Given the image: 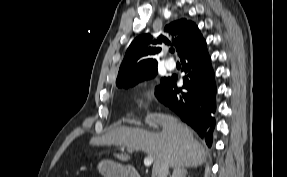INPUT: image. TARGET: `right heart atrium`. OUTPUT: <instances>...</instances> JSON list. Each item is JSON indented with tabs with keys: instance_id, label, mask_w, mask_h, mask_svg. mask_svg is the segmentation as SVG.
<instances>
[{
	"instance_id": "1",
	"label": "right heart atrium",
	"mask_w": 287,
	"mask_h": 177,
	"mask_svg": "<svg viewBox=\"0 0 287 177\" xmlns=\"http://www.w3.org/2000/svg\"><path fill=\"white\" fill-rule=\"evenodd\" d=\"M154 98V89L153 88H145L142 90L136 98V103L140 106H145L149 102H151Z\"/></svg>"
}]
</instances>
